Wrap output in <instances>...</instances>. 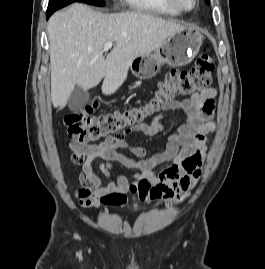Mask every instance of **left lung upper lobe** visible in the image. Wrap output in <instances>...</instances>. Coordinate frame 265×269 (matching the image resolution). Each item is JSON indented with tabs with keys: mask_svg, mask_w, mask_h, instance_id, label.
Here are the masks:
<instances>
[{
	"mask_svg": "<svg viewBox=\"0 0 265 269\" xmlns=\"http://www.w3.org/2000/svg\"><path fill=\"white\" fill-rule=\"evenodd\" d=\"M206 2H207L208 4H210V0H206Z\"/></svg>",
	"mask_w": 265,
	"mask_h": 269,
	"instance_id": "5c2ea615",
	"label": "left lung upper lobe"
}]
</instances>
